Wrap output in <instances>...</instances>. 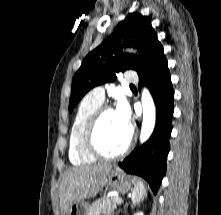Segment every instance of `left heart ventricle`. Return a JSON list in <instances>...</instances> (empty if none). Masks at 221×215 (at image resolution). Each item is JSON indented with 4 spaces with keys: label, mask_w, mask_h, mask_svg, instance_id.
Masks as SVG:
<instances>
[{
    "label": "left heart ventricle",
    "mask_w": 221,
    "mask_h": 215,
    "mask_svg": "<svg viewBox=\"0 0 221 215\" xmlns=\"http://www.w3.org/2000/svg\"><path fill=\"white\" fill-rule=\"evenodd\" d=\"M130 130L119 122L115 111L106 113L97 129V144L106 153H116L127 144Z\"/></svg>",
    "instance_id": "left-heart-ventricle-1"
}]
</instances>
